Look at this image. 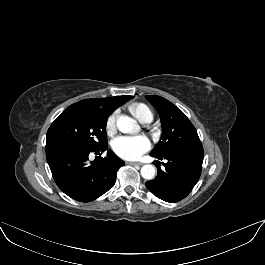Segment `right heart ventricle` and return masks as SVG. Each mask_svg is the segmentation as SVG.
I'll use <instances>...</instances> for the list:
<instances>
[{"mask_svg": "<svg viewBox=\"0 0 265 265\" xmlns=\"http://www.w3.org/2000/svg\"><path fill=\"white\" fill-rule=\"evenodd\" d=\"M129 111L141 123H149L153 120L154 117L151 108L141 102L132 103L129 106Z\"/></svg>", "mask_w": 265, "mask_h": 265, "instance_id": "right-heart-ventricle-1", "label": "right heart ventricle"}]
</instances>
